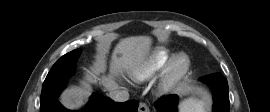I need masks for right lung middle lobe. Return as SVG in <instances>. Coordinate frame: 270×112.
<instances>
[{"label":"right lung middle lobe","instance_id":"right-lung-middle-lobe-1","mask_svg":"<svg viewBox=\"0 0 270 112\" xmlns=\"http://www.w3.org/2000/svg\"><path fill=\"white\" fill-rule=\"evenodd\" d=\"M81 53L80 49H75L63 55L52 67L48 73L45 83L49 85H58L66 82V78L73 75L76 61Z\"/></svg>","mask_w":270,"mask_h":112}]
</instances>
